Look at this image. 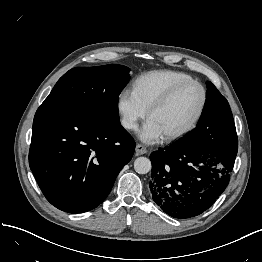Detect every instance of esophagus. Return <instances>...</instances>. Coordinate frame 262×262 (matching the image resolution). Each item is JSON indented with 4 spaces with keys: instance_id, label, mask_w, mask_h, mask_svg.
Wrapping results in <instances>:
<instances>
[{
    "instance_id": "1",
    "label": "esophagus",
    "mask_w": 262,
    "mask_h": 262,
    "mask_svg": "<svg viewBox=\"0 0 262 262\" xmlns=\"http://www.w3.org/2000/svg\"><path fill=\"white\" fill-rule=\"evenodd\" d=\"M136 153L138 155H143V154L147 153V148L142 144H137L136 145Z\"/></svg>"
}]
</instances>
